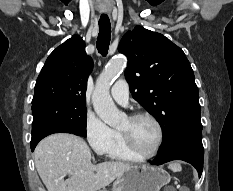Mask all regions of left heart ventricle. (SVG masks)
I'll use <instances>...</instances> for the list:
<instances>
[{
	"mask_svg": "<svg viewBox=\"0 0 233 191\" xmlns=\"http://www.w3.org/2000/svg\"><path fill=\"white\" fill-rule=\"evenodd\" d=\"M120 131L128 133L143 153H151L156 147L158 131L156 126L148 119L137 121L126 119L120 127Z\"/></svg>",
	"mask_w": 233,
	"mask_h": 191,
	"instance_id": "obj_1",
	"label": "left heart ventricle"
}]
</instances>
